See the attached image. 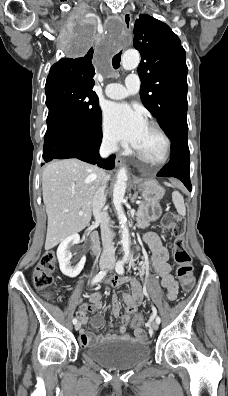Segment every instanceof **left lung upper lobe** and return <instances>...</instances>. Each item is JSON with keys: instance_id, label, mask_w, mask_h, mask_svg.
I'll list each match as a JSON object with an SVG mask.
<instances>
[{"instance_id": "5c2ea615", "label": "left lung upper lobe", "mask_w": 228, "mask_h": 396, "mask_svg": "<svg viewBox=\"0 0 228 396\" xmlns=\"http://www.w3.org/2000/svg\"><path fill=\"white\" fill-rule=\"evenodd\" d=\"M133 43L141 54L142 103L162 128L173 113L188 107L185 50L167 24L146 14L135 22Z\"/></svg>"}]
</instances>
